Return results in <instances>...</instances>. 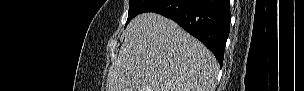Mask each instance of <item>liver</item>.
Returning a JSON list of instances; mask_svg holds the SVG:
<instances>
[{"label": "liver", "instance_id": "1", "mask_svg": "<svg viewBox=\"0 0 304 91\" xmlns=\"http://www.w3.org/2000/svg\"><path fill=\"white\" fill-rule=\"evenodd\" d=\"M106 91H211L215 56L174 21L156 13L135 17L124 32Z\"/></svg>", "mask_w": 304, "mask_h": 91}]
</instances>
